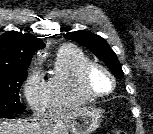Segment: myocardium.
<instances>
[{"mask_svg":"<svg viewBox=\"0 0 153 134\" xmlns=\"http://www.w3.org/2000/svg\"><path fill=\"white\" fill-rule=\"evenodd\" d=\"M95 70L102 71L110 78L111 83H112V87L108 92L98 93V92H95L91 88L90 77ZM79 83H80V88H81L82 92L92 99H98V98H103V97L109 96L114 92V90L116 88V79H115L114 75L112 74V72L109 69H107L105 66H103L97 62H93V61L87 63L81 69L80 75H79Z\"/></svg>","mask_w":153,"mask_h":134,"instance_id":"1","label":"myocardium"}]
</instances>
